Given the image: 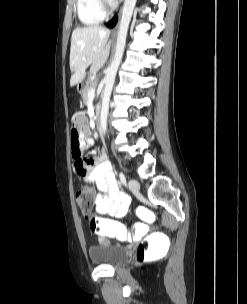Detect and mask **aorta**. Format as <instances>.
Instances as JSON below:
<instances>
[{
  "mask_svg": "<svg viewBox=\"0 0 247 304\" xmlns=\"http://www.w3.org/2000/svg\"><path fill=\"white\" fill-rule=\"evenodd\" d=\"M136 1L137 0H125L124 2L120 26L117 35L115 55L111 61V64L107 69L104 78L105 87L102 96V106H101V115H100V130L101 133L104 135L107 130V116L109 112L110 96L115 82L117 69L119 67L124 52L128 27L131 21L134 7L136 5Z\"/></svg>",
  "mask_w": 247,
  "mask_h": 304,
  "instance_id": "1",
  "label": "aorta"
}]
</instances>
